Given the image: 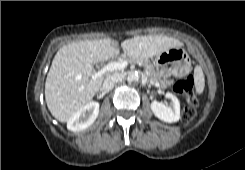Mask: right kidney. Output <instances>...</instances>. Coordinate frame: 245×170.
Instances as JSON below:
<instances>
[{"mask_svg": "<svg viewBox=\"0 0 245 170\" xmlns=\"http://www.w3.org/2000/svg\"><path fill=\"white\" fill-rule=\"evenodd\" d=\"M99 113V103L89 102L80 107L67 121V129L73 132L82 131L91 126Z\"/></svg>", "mask_w": 245, "mask_h": 170, "instance_id": "1", "label": "right kidney"}]
</instances>
